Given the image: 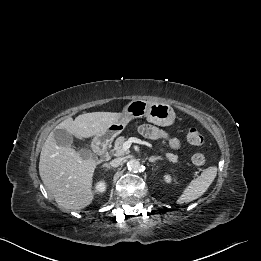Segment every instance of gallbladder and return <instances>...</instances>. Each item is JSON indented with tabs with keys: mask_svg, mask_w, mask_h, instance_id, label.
<instances>
[{
	"mask_svg": "<svg viewBox=\"0 0 261 261\" xmlns=\"http://www.w3.org/2000/svg\"><path fill=\"white\" fill-rule=\"evenodd\" d=\"M53 134H54L56 143L59 146H65V147L72 146L73 137L67 130L54 129ZM79 154L83 159H87L92 156V151L89 148H81L79 150Z\"/></svg>",
	"mask_w": 261,
	"mask_h": 261,
	"instance_id": "1",
	"label": "gallbladder"
}]
</instances>
